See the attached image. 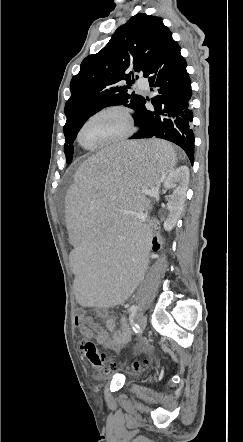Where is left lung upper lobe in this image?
Here are the masks:
<instances>
[{"label": "left lung upper lobe", "instance_id": "obj_1", "mask_svg": "<svg viewBox=\"0 0 243 442\" xmlns=\"http://www.w3.org/2000/svg\"><path fill=\"white\" fill-rule=\"evenodd\" d=\"M170 33L161 17L139 13L120 26L102 50L82 61L80 72L71 80V97L65 105L67 163L72 161L77 133L90 116L111 105L139 111L144 97L128 94L134 82L130 76L134 72L145 76ZM122 80L128 85H121Z\"/></svg>", "mask_w": 243, "mask_h": 442}]
</instances>
